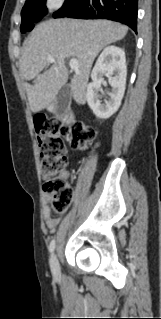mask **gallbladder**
<instances>
[{
  "label": "gallbladder",
  "instance_id": "bac80fb5",
  "mask_svg": "<svg viewBox=\"0 0 161 319\" xmlns=\"http://www.w3.org/2000/svg\"><path fill=\"white\" fill-rule=\"evenodd\" d=\"M70 101L71 88L69 85H65L59 90L55 99L54 114L56 118H61L66 115Z\"/></svg>",
  "mask_w": 161,
  "mask_h": 319
}]
</instances>
